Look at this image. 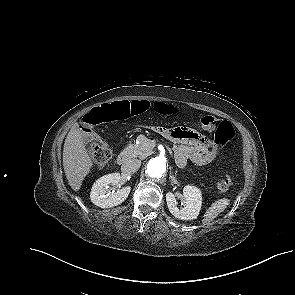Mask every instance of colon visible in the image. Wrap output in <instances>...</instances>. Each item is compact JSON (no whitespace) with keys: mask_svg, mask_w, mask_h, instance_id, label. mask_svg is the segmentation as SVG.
Listing matches in <instances>:
<instances>
[{"mask_svg":"<svg viewBox=\"0 0 295 295\" xmlns=\"http://www.w3.org/2000/svg\"><path fill=\"white\" fill-rule=\"evenodd\" d=\"M149 108L147 101H117L110 104H104L88 112L82 120L81 130L86 134H91L94 126L102 123H109L118 120H125L129 117L141 114ZM155 110L160 114H170L174 111L173 107L165 103H156ZM201 127L215 137L211 139L212 153L218 158L222 156V150H219V143L224 148L235 135L232 124L227 121L219 122L210 115L203 116L200 119ZM90 156L95 166L103 168L111 158V150L98 138L92 137L89 147ZM231 180L227 176L216 184L215 190L225 192L229 189Z\"/></svg>","mask_w":295,"mask_h":295,"instance_id":"1","label":"colon"}]
</instances>
